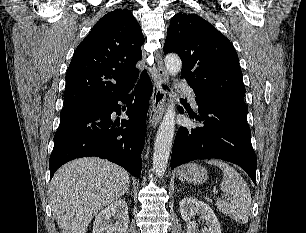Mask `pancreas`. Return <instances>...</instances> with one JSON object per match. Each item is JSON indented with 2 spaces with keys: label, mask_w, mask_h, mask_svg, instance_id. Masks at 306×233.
I'll list each match as a JSON object with an SVG mask.
<instances>
[{
  "label": "pancreas",
  "mask_w": 306,
  "mask_h": 233,
  "mask_svg": "<svg viewBox=\"0 0 306 233\" xmlns=\"http://www.w3.org/2000/svg\"><path fill=\"white\" fill-rule=\"evenodd\" d=\"M207 201L211 202V200L207 199Z\"/></svg>",
  "instance_id": "pancreas-1"
}]
</instances>
